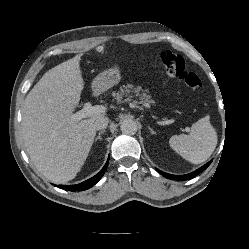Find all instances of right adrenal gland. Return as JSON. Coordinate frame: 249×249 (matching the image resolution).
Wrapping results in <instances>:
<instances>
[{
    "mask_svg": "<svg viewBox=\"0 0 249 249\" xmlns=\"http://www.w3.org/2000/svg\"><path fill=\"white\" fill-rule=\"evenodd\" d=\"M105 132V130H102V131H100L99 133H98V136L96 137V139H95V141H97V140H102V138H101V134H103Z\"/></svg>",
    "mask_w": 249,
    "mask_h": 249,
    "instance_id": "right-adrenal-gland-1",
    "label": "right adrenal gland"
}]
</instances>
